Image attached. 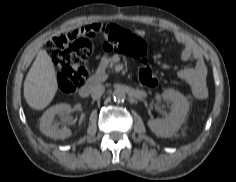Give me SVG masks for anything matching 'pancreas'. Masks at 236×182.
I'll return each mask as SVG.
<instances>
[{
	"label": "pancreas",
	"instance_id": "1",
	"mask_svg": "<svg viewBox=\"0 0 236 182\" xmlns=\"http://www.w3.org/2000/svg\"><path fill=\"white\" fill-rule=\"evenodd\" d=\"M103 67H112L114 65L113 61L111 59H106L105 57L103 58L102 64Z\"/></svg>",
	"mask_w": 236,
	"mask_h": 182
}]
</instances>
